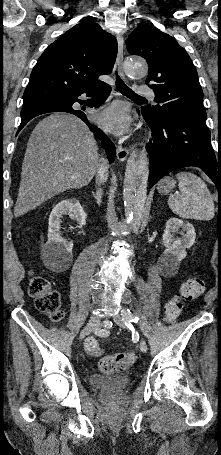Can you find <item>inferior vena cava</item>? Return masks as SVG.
<instances>
[{"mask_svg": "<svg viewBox=\"0 0 221 455\" xmlns=\"http://www.w3.org/2000/svg\"><path fill=\"white\" fill-rule=\"evenodd\" d=\"M107 177H108V165L104 163L100 167V169L96 175V184L100 185V184L106 182Z\"/></svg>", "mask_w": 221, "mask_h": 455, "instance_id": "602c4592", "label": "inferior vena cava"}]
</instances>
